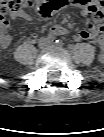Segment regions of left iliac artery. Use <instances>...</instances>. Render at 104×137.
Masks as SVG:
<instances>
[{"label": "left iliac artery", "mask_w": 104, "mask_h": 137, "mask_svg": "<svg viewBox=\"0 0 104 137\" xmlns=\"http://www.w3.org/2000/svg\"><path fill=\"white\" fill-rule=\"evenodd\" d=\"M55 43L58 45V46H62L63 45V42L61 40H56Z\"/></svg>", "instance_id": "left-iliac-artery-1"}]
</instances>
